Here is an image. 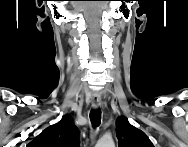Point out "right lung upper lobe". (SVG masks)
I'll use <instances>...</instances> for the list:
<instances>
[{
  "label": "right lung upper lobe",
  "mask_w": 188,
  "mask_h": 147,
  "mask_svg": "<svg viewBox=\"0 0 188 147\" xmlns=\"http://www.w3.org/2000/svg\"><path fill=\"white\" fill-rule=\"evenodd\" d=\"M31 147H78V133L70 116L46 128L30 144Z\"/></svg>",
  "instance_id": "cb5924a9"
}]
</instances>
